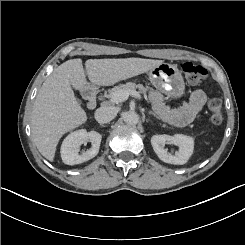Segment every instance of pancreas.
Listing matches in <instances>:
<instances>
[{"instance_id": "obj_1", "label": "pancreas", "mask_w": 245, "mask_h": 245, "mask_svg": "<svg viewBox=\"0 0 245 245\" xmlns=\"http://www.w3.org/2000/svg\"><path fill=\"white\" fill-rule=\"evenodd\" d=\"M138 89L139 93L146 94V91L150 89L149 87H144L142 84H135L133 82H127L126 84H120L118 86L113 87L108 91L106 95L107 98H111L115 92L118 91H131Z\"/></svg>"}]
</instances>
